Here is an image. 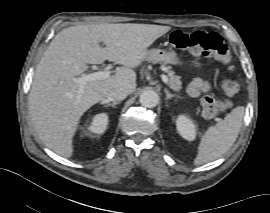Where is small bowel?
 <instances>
[{"label": "small bowel", "instance_id": "small-bowel-1", "mask_svg": "<svg viewBox=\"0 0 270 213\" xmlns=\"http://www.w3.org/2000/svg\"><path fill=\"white\" fill-rule=\"evenodd\" d=\"M208 90V84L201 78L194 79L187 88V92L191 96H199L201 93Z\"/></svg>", "mask_w": 270, "mask_h": 213}]
</instances>
